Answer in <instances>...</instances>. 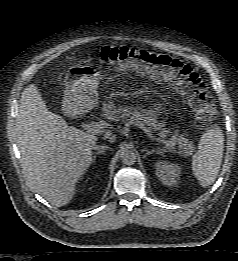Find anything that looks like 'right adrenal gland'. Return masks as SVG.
Instances as JSON below:
<instances>
[{
    "label": "right adrenal gland",
    "instance_id": "obj_1",
    "mask_svg": "<svg viewBox=\"0 0 238 261\" xmlns=\"http://www.w3.org/2000/svg\"><path fill=\"white\" fill-rule=\"evenodd\" d=\"M107 148H108V147H106V146H102V150H99V151L96 152L95 155L93 156V157H94V158H93V162H95V157H96V155H100V154H103V155H104V152H105V150H107Z\"/></svg>",
    "mask_w": 238,
    "mask_h": 261
}]
</instances>
